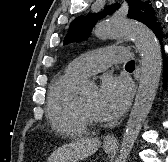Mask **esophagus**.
Masks as SVG:
<instances>
[{
	"label": "esophagus",
	"instance_id": "34e87169",
	"mask_svg": "<svg viewBox=\"0 0 168 162\" xmlns=\"http://www.w3.org/2000/svg\"><path fill=\"white\" fill-rule=\"evenodd\" d=\"M137 72L139 73L140 72V67L138 66L137 67ZM106 144H116L117 143V139L114 138V137H106L105 141H104Z\"/></svg>",
	"mask_w": 168,
	"mask_h": 162
}]
</instances>
